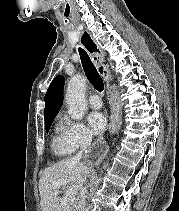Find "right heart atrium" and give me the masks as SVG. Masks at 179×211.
Here are the masks:
<instances>
[{"label": "right heart atrium", "mask_w": 179, "mask_h": 211, "mask_svg": "<svg viewBox=\"0 0 179 211\" xmlns=\"http://www.w3.org/2000/svg\"><path fill=\"white\" fill-rule=\"evenodd\" d=\"M62 138L71 151L87 146L92 141V135L83 123L67 117L63 118Z\"/></svg>", "instance_id": "right-heart-atrium-1"}]
</instances>
